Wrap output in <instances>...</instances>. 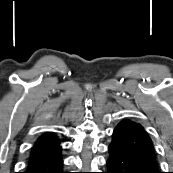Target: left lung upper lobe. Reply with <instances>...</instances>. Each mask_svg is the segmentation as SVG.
Returning a JSON list of instances; mask_svg holds the SVG:
<instances>
[{"label":"left lung upper lobe","mask_w":173,"mask_h":173,"mask_svg":"<svg viewBox=\"0 0 173 173\" xmlns=\"http://www.w3.org/2000/svg\"><path fill=\"white\" fill-rule=\"evenodd\" d=\"M112 141L143 153L155 155L152 140L144 128L135 122L124 120L114 129Z\"/></svg>","instance_id":"left-lung-upper-lobe-1"}]
</instances>
